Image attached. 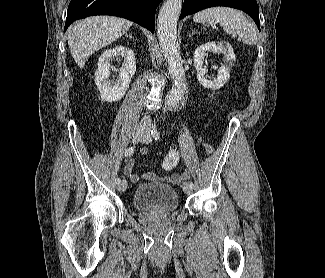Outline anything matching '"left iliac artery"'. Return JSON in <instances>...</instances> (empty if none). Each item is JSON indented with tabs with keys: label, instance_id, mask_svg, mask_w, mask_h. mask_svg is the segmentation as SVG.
Returning a JSON list of instances; mask_svg holds the SVG:
<instances>
[{
	"label": "left iliac artery",
	"instance_id": "left-iliac-artery-1",
	"mask_svg": "<svg viewBox=\"0 0 325 278\" xmlns=\"http://www.w3.org/2000/svg\"><path fill=\"white\" fill-rule=\"evenodd\" d=\"M151 134L153 136V138L155 140L159 139L160 138V133L158 132V130L154 127L152 130H151ZM190 187L194 188V184L192 182H190Z\"/></svg>",
	"mask_w": 325,
	"mask_h": 278
}]
</instances>
